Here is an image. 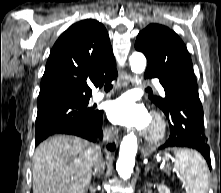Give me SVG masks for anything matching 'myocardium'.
Returning a JSON list of instances; mask_svg holds the SVG:
<instances>
[{
  "instance_id": "f54148a6",
  "label": "myocardium",
  "mask_w": 221,
  "mask_h": 193,
  "mask_svg": "<svg viewBox=\"0 0 221 193\" xmlns=\"http://www.w3.org/2000/svg\"><path fill=\"white\" fill-rule=\"evenodd\" d=\"M151 119L156 124V130L154 132H148L145 129L142 131L141 135L151 143H157L162 141L167 132V125L164 118L157 112L151 114Z\"/></svg>"
}]
</instances>
